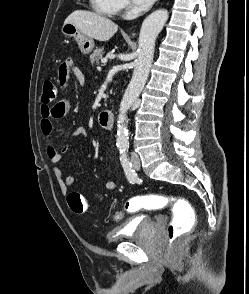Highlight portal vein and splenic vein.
Here are the masks:
<instances>
[{"label": "portal vein and splenic vein", "instance_id": "1", "mask_svg": "<svg viewBox=\"0 0 249 294\" xmlns=\"http://www.w3.org/2000/svg\"><path fill=\"white\" fill-rule=\"evenodd\" d=\"M101 62H102L103 64H106V63H107V59H102Z\"/></svg>", "mask_w": 249, "mask_h": 294}]
</instances>
